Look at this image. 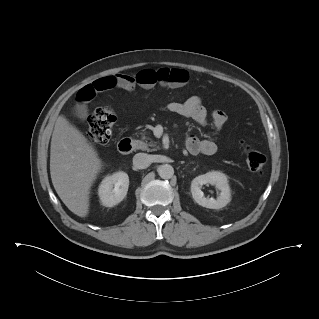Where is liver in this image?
I'll return each instance as SVG.
<instances>
[{
    "instance_id": "1",
    "label": "liver",
    "mask_w": 319,
    "mask_h": 319,
    "mask_svg": "<svg viewBox=\"0 0 319 319\" xmlns=\"http://www.w3.org/2000/svg\"><path fill=\"white\" fill-rule=\"evenodd\" d=\"M102 162L85 136L64 116L56 120L50 147L53 186L67 208L79 217L89 212V194Z\"/></svg>"
}]
</instances>
